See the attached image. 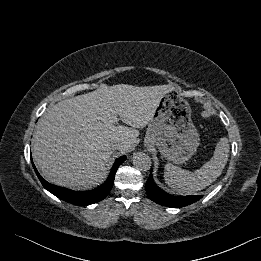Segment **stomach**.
Wrapping results in <instances>:
<instances>
[{
	"label": "stomach",
	"instance_id": "obj_1",
	"mask_svg": "<svg viewBox=\"0 0 261 261\" xmlns=\"http://www.w3.org/2000/svg\"><path fill=\"white\" fill-rule=\"evenodd\" d=\"M191 115L190 104L173 87L159 100L148 124L145 145L156 146L169 162L185 163L196 152L200 142Z\"/></svg>",
	"mask_w": 261,
	"mask_h": 261
}]
</instances>
